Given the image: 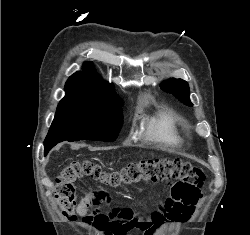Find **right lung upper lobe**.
Wrapping results in <instances>:
<instances>
[{
    "instance_id": "obj_1",
    "label": "right lung upper lobe",
    "mask_w": 250,
    "mask_h": 235,
    "mask_svg": "<svg viewBox=\"0 0 250 235\" xmlns=\"http://www.w3.org/2000/svg\"><path fill=\"white\" fill-rule=\"evenodd\" d=\"M84 73L76 72L65 85V99L105 100L118 97L112 84H106L94 71L92 62H85Z\"/></svg>"
}]
</instances>
